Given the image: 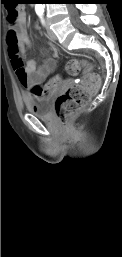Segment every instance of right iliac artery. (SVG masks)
I'll list each match as a JSON object with an SVG mask.
<instances>
[{
  "label": "right iliac artery",
  "instance_id": "82829eb1",
  "mask_svg": "<svg viewBox=\"0 0 122 257\" xmlns=\"http://www.w3.org/2000/svg\"><path fill=\"white\" fill-rule=\"evenodd\" d=\"M39 16H42V13H38Z\"/></svg>",
  "mask_w": 122,
  "mask_h": 257
}]
</instances>
